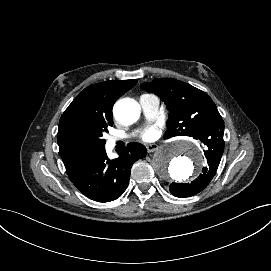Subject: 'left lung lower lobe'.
Instances as JSON below:
<instances>
[{
	"label": "left lung lower lobe",
	"instance_id": "left-lung-lower-lobe-1",
	"mask_svg": "<svg viewBox=\"0 0 271 271\" xmlns=\"http://www.w3.org/2000/svg\"><path fill=\"white\" fill-rule=\"evenodd\" d=\"M204 150L207 166L203 168L200 176L191 183H172L169 186L170 192L179 198L193 196L207 187L214 177L219 166L224 147L214 144H207Z\"/></svg>",
	"mask_w": 271,
	"mask_h": 271
}]
</instances>
